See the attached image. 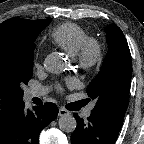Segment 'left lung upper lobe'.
Returning a JSON list of instances; mask_svg holds the SVG:
<instances>
[{
    "label": "left lung upper lobe",
    "mask_w": 144,
    "mask_h": 144,
    "mask_svg": "<svg viewBox=\"0 0 144 144\" xmlns=\"http://www.w3.org/2000/svg\"><path fill=\"white\" fill-rule=\"evenodd\" d=\"M105 32L109 50L99 74L89 84L87 94L96 100L92 112L122 124L129 101L131 54L124 34L117 25H108Z\"/></svg>",
    "instance_id": "1"
}]
</instances>
